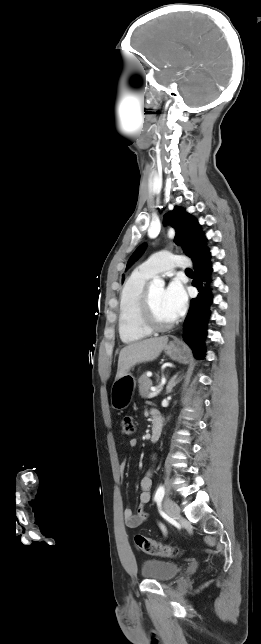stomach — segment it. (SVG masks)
<instances>
[{"label": "stomach", "instance_id": "1", "mask_svg": "<svg viewBox=\"0 0 261 644\" xmlns=\"http://www.w3.org/2000/svg\"><path fill=\"white\" fill-rule=\"evenodd\" d=\"M164 352L172 360L187 364L191 360L189 349L181 344L170 342L164 347ZM136 388V379L130 372L114 381L111 387L110 400L112 408L123 410L131 403Z\"/></svg>", "mask_w": 261, "mask_h": 644}]
</instances>
